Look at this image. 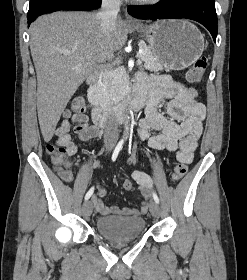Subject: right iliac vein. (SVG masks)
Wrapping results in <instances>:
<instances>
[{"label": "right iliac vein", "mask_w": 247, "mask_h": 280, "mask_svg": "<svg viewBox=\"0 0 247 280\" xmlns=\"http://www.w3.org/2000/svg\"><path fill=\"white\" fill-rule=\"evenodd\" d=\"M111 149H112V147L109 146L108 150H111ZM82 212H83L84 216H89L92 213V203H91V201H86L83 204Z\"/></svg>", "instance_id": "63e3f726"}]
</instances>
